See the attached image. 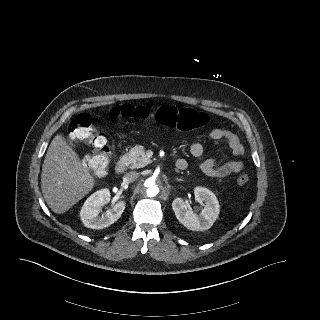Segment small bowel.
<instances>
[{
  "label": "small bowel",
  "mask_w": 320,
  "mask_h": 320,
  "mask_svg": "<svg viewBox=\"0 0 320 320\" xmlns=\"http://www.w3.org/2000/svg\"><path fill=\"white\" fill-rule=\"evenodd\" d=\"M212 140H224L235 157H240L244 153V146L240 139L233 132L224 128H214L210 132ZM204 148L201 143L194 142L190 145V152L195 157L203 154ZM244 168V163L240 159L228 161L219 165L215 159H207L201 164V170L208 176L223 178L231 174L240 172Z\"/></svg>",
  "instance_id": "small-bowel-1"
}]
</instances>
